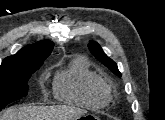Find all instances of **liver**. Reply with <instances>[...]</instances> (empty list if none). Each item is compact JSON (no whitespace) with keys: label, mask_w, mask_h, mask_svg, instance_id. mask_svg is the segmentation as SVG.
Segmentation results:
<instances>
[{"label":"liver","mask_w":165,"mask_h":120,"mask_svg":"<svg viewBox=\"0 0 165 120\" xmlns=\"http://www.w3.org/2000/svg\"><path fill=\"white\" fill-rule=\"evenodd\" d=\"M84 111L73 107L19 106L7 109L0 120H66L75 118Z\"/></svg>","instance_id":"liver-1"}]
</instances>
